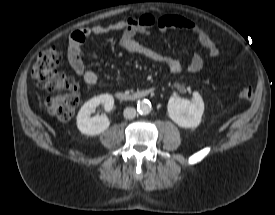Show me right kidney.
<instances>
[{
	"label": "right kidney",
	"instance_id": "1",
	"mask_svg": "<svg viewBox=\"0 0 275 215\" xmlns=\"http://www.w3.org/2000/svg\"><path fill=\"white\" fill-rule=\"evenodd\" d=\"M99 105H102L105 111H111L114 106L113 96L102 94L93 97L81 107L77 115V127L81 133L90 136L99 135L109 127L110 121L106 115L91 117Z\"/></svg>",
	"mask_w": 275,
	"mask_h": 215
}]
</instances>
